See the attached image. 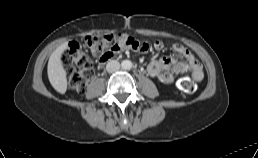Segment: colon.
<instances>
[{"label":"colon","mask_w":258,"mask_h":158,"mask_svg":"<svg viewBox=\"0 0 258 158\" xmlns=\"http://www.w3.org/2000/svg\"><path fill=\"white\" fill-rule=\"evenodd\" d=\"M139 42L131 36L122 34L89 35L83 44L72 42L62 54V62L67 69L70 87L78 93H84L94 76V70L86 52L90 51L99 60H106L126 48H135ZM178 87L185 93L192 94L197 90L194 78L184 77Z\"/></svg>","instance_id":"colon-1"}]
</instances>
